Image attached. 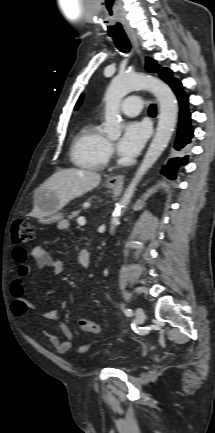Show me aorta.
I'll list each match as a JSON object with an SVG mask.
<instances>
[{"label":"aorta","instance_id":"obj_1","mask_svg":"<svg viewBox=\"0 0 215 433\" xmlns=\"http://www.w3.org/2000/svg\"><path fill=\"white\" fill-rule=\"evenodd\" d=\"M136 89H149L156 96L160 107L159 121L156 134L144 156L142 163L135 173L130 185L126 189L120 203L116 206L111 219V232L114 231L117 224L119 223V218L130 202L137 184L145 175V173L154 165L164 149L167 147L177 120L178 105L176 97L166 83L158 78L145 74L129 73L118 75L111 81L104 98V131L110 138L120 137L122 132L120 103L129 92Z\"/></svg>","mask_w":215,"mask_h":433}]
</instances>
